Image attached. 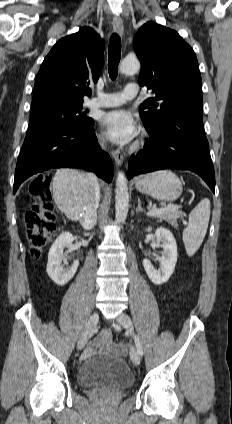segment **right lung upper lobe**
<instances>
[{
  "instance_id": "1",
  "label": "right lung upper lobe",
  "mask_w": 232,
  "mask_h": 424,
  "mask_svg": "<svg viewBox=\"0 0 232 424\" xmlns=\"http://www.w3.org/2000/svg\"><path fill=\"white\" fill-rule=\"evenodd\" d=\"M104 42L90 27L60 39L44 59L33 92L32 108L51 103L82 105L87 87L97 82Z\"/></svg>"
}]
</instances>
